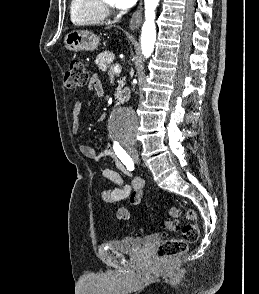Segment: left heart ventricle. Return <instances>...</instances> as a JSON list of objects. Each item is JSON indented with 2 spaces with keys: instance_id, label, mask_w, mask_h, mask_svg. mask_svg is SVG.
I'll return each instance as SVG.
<instances>
[{
  "instance_id": "1",
  "label": "left heart ventricle",
  "mask_w": 259,
  "mask_h": 294,
  "mask_svg": "<svg viewBox=\"0 0 259 294\" xmlns=\"http://www.w3.org/2000/svg\"><path fill=\"white\" fill-rule=\"evenodd\" d=\"M108 3H113V0H107Z\"/></svg>"
}]
</instances>
